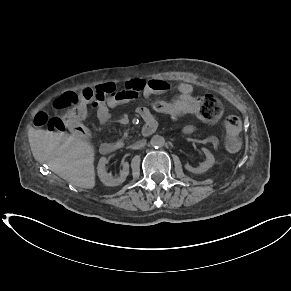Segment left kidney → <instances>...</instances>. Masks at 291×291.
I'll return each mask as SVG.
<instances>
[{"label": "left kidney", "mask_w": 291, "mask_h": 291, "mask_svg": "<svg viewBox=\"0 0 291 291\" xmlns=\"http://www.w3.org/2000/svg\"><path fill=\"white\" fill-rule=\"evenodd\" d=\"M202 151L204 152L205 156H206V161L202 162L200 164L199 167L197 168H193L192 166H190L189 164H187L185 166V168L195 174H201L206 172L209 168H211L214 163H215V158L213 156V154L206 148H203Z\"/></svg>", "instance_id": "5707ae66"}]
</instances>
